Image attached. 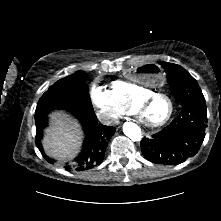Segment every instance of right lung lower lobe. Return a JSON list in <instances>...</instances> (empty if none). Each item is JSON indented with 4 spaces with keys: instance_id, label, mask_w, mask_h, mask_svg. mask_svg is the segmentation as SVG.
I'll return each instance as SVG.
<instances>
[{
    "instance_id": "obj_1",
    "label": "right lung lower lobe",
    "mask_w": 221,
    "mask_h": 221,
    "mask_svg": "<svg viewBox=\"0 0 221 221\" xmlns=\"http://www.w3.org/2000/svg\"><path fill=\"white\" fill-rule=\"evenodd\" d=\"M79 120L85 129V140L81 154L74 162L65 165L66 170L83 171L93 168L103 161L105 150L109 139L113 136L116 129L102 124H97V118L94 110L83 112L81 114L72 112ZM36 123V145L41 151L43 157L49 162L54 163V160L47 157L41 147L42 131L47 126V118L44 117Z\"/></svg>"
}]
</instances>
